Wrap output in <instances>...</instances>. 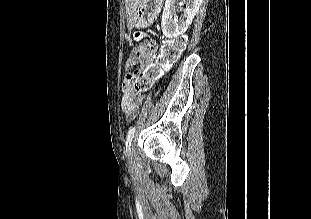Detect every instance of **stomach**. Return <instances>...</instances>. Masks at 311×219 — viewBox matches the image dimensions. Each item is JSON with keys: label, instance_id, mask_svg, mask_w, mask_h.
Segmentation results:
<instances>
[{"label": "stomach", "instance_id": "0dacf381", "mask_svg": "<svg viewBox=\"0 0 311 219\" xmlns=\"http://www.w3.org/2000/svg\"><path fill=\"white\" fill-rule=\"evenodd\" d=\"M162 0H139L130 24L137 28H146L153 24L158 16Z\"/></svg>", "mask_w": 311, "mask_h": 219}]
</instances>
